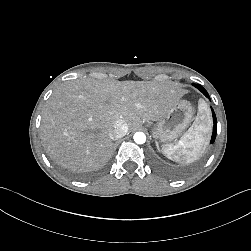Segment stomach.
Instances as JSON below:
<instances>
[{
  "label": "stomach",
  "mask_w": 251,
  "mask_h": 251,
  "mask_svg": "<svg viewBox=\"0 0 251 251\" xmlns=\"http://www.w3.org/2000/svg\"><path fill=\"white\" fill-rule=\"evenodd\" d=\"M163 124H164V122H160V123L158 124V129H157V131L155 132L156 136L162 138V140H165V139H175V140H177V139L179 138V136L182 135V133L179 134V135L174 134V133H173L174 131H173L170 135L167 136V135H166V132H165V129H164V127H163ZM186 134H187V133H185V134L182 135L181 140H180L181 142H183V141L186 140V139H185Z\"/></svg>",
  "instance_id": "obj_1"
}]
</instances>
